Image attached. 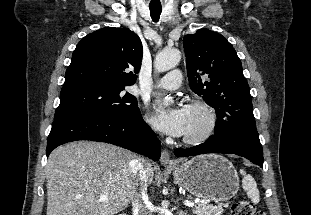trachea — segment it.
<instances>
[{
  "mask_svg": "<svg viewBox=\"0 0 311 215\" xmlns=\"http://www.w3.org/2000/svg\"><path fill=\"white\" fill-rule=\"evenodd\" d=\"M150 9V15L151 18L154 22H158L161 12H162V7L161 6H149Z\"/></svg>",
  "mask_w": 311,
  "mask_h": 215,
  "instance_id": "trachea-1",
  "label": "trachea"
}]
</instances>
